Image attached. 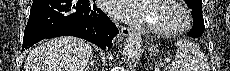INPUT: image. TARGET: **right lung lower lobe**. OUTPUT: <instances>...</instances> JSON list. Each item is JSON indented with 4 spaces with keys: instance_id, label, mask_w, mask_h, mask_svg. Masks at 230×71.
<instances>
[{
    "instance_id": "1",
    "label": "right lung lower lobe",
    "mask_w": 230,
    "mask_h": 71,
    "mask_svg": "<svg viewBox=\"0 0 230 71\" xmlns=\"http://www.w3.org/2000/svg\"><path fill=\"white\" fill-rule=\"evenodd\" d=\"M93 1L34 0L22 51L42 39L65 35L86 39L103 50L106 46L110 48L118 29Z\"/></svg>"
}]
</instances>
